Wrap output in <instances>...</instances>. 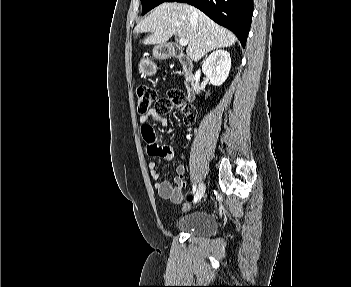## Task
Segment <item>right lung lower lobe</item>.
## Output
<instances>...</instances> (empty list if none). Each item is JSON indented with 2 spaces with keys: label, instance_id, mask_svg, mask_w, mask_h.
<instances>
[{
  "label": "right lung lower lobe",
  "instance_id": "right-lung-lower-lobe-1",
  "mask_svg": "<svg viewBox=\"0 0 351 287\" xmlns=\"http://www.w3.org/2000/svg\"><path fill=\"white\" fill-rule=\"evenodd\" d=\"M165 2L188 3L195 6L212 20L235 33L245 47L251 25L253 0H166Z\"/></svg>",
  "mask_w": 351,
  "mask_h": 287
}]
</instances>
